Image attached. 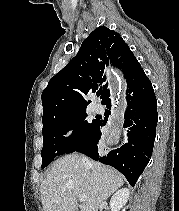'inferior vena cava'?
Here are the masks:
<instances>
[{"label":"inferior vena cava","mask_w":179,"mask_h":211,"mask_svg":"<svg viewBox=\"0 0 179 211\" xmlns=\"http://www.w3.org/2000/svg\"><path fill=\"white\" fill-rule=\"evenodd\" d=\"M82 161L85 163V162H87L88 160H87L86 157H83V158H82Z\"/></svg>","instance_id":"obj_1"}]
</instances>
